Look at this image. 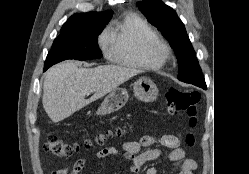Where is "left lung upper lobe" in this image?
Returning a JSON list of instances; mask_svg holds the SVG:
<instances>
[{
  "mask_svg": "<svg viewBox=\"0 0 249 174\" xmlns=\"http://www.w3.org/2000/svg\"><path fill=\"white\" fill-rule=\"evenodd\" d=\"M137 6L174 49L179 64L178 79L186 83L204 80L185 26L176 12L161 0H143Z\"/></svg>",
  "mask_w": 249,
  "mask_h": 174,
  "instance_id": "left-lung-upper-lobe-1",
  "label": "left lung upper lobe"
}]
</instances>
